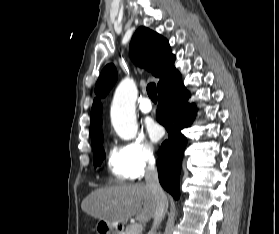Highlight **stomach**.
Returning a JSON list of instances; mask_svg holds the SVG:
<instances>
[{
	"instance_id": "obj_1",
	"label": "stomach",
	"mask_w": 279,
	"mask_h": 234,
	"mask_svg": "<svg viewBox=\"0 0 279 234\" xmlns=\"http://www.w3.org/2000/svg\"><path fill=\"white\" fill-rule=\"evenodd\" d=\"M97 234H122V227L120 223L107 222L99 220L96 224Z\"/></svg>"
}]
</instances>
